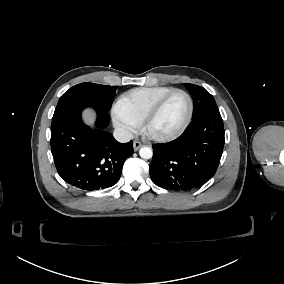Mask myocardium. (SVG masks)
Listing matches in <instances>:
<instances>
[{
	"label": "myocardium",
	"instance_id": "f54148a6",
	"mask_svg": "<svg viewBox=\"0 0 284 284\" xmlns=\"http://www.w3.org/2000/svg\"><path fill=\"white\" fill-rule=\"evenodd\" d=\"M177 92H181L183 93L188 102H189V112L187 115V118L185 120V122L183 123V125L173 134L168 135V136H154L151 135L148 132V125L151 122V120L161 111V109L163 108V106L165 105L166 101L175 93ZM194 115V101L193 98L191 97V95L184 89H180V88H175L172 91L166 93L165 95H163L153 106H151L146 114L143 116L142 119H140V127L142 129L143 134L150 140L156 141V142H170L173 141L177 138H179L188 128V126L190 125L192 118Z\"/></svg>",
	"mask_w": 284,
	"mask_h": 284
}]
</instances>
